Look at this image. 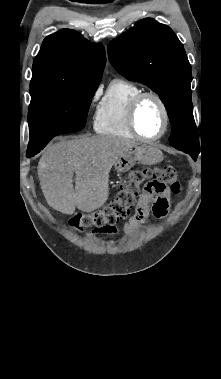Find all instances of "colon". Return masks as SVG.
Here are the masks:
<instances>
[{"instance_id":"5ec220e1","label":"colon","mask_w":221,"mask_h":379,"mask_svg":"<svg viewBox=\"0 0 221 379\" xmlns=\"http://www.w3.org/2000/svg\"><path fill=\"white\" fill-rule=\"evenodd\" d=\"M177 170L169 165L133 170L122 183L116 199L107 207L91 213H78L69 220V226L77 231L94 228L105 232L115 228L120 221L129 217L145 192L163 193L180 191Z\"/></svg>"}]
</instances>
